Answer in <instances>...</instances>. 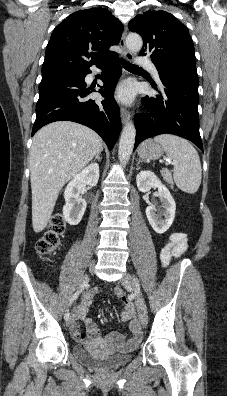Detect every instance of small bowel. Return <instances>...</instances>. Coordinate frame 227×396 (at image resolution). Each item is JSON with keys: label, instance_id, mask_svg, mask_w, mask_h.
Masks as SVG:
<instances>
[{"label": "small bowel", "instance_id": "c3829d8e", "mask_svg": "<svg viewBox=\"0 0 227 396\" xmlns=\"http://www.w3.org/2000/svg\"><path fill=\"white\" fill-rule=\"evenodd\" d=\"M187 236L185 233L174 232L170 235L168 242L161 251V262L165 266L172 258L182 256L187 250ZM114 292L117 296L121 297L123 292L120 288H115ZM96 291L88 293L82 299L81 304L76 310V317L71 326L73 336L79 341H90L96 344H111L117 346H133L136 345L141 337L139 322L134 318V308L129 302H126L125 308L121 313L123 321L130 322V337L128 339L120 332H111L103 337L100 334L98 326L93 322L89 316V308L93 302ZM81 322L85 325L86 331L82 333L79 331L78 323Z\"/></svg>", "mask_w": 227, "mask_h": 396}]
</instances>
